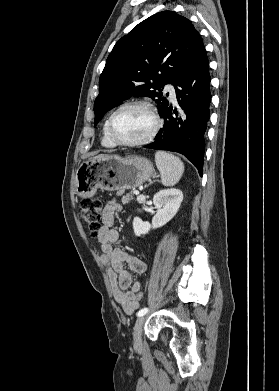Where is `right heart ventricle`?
I'll list each match as a JSON object with an SVG mask.
<instances>
[{
    "label": "right heart ventricle",
    "instance_id": "1",
    "mask_svg": "<svg viewBox=\"0 0 279 391\" xmlns=\"http://www.w3.org/2000/svg\"><path fill=\"white\" fill-rule=\"evenodd\" d=\"M107 122H108V118L105 120L103 127H102L101 144L104 148L112 149V148H115L116 145L109 139V137L107 135Z\"/></svg>",
    "mask_w": 279,
    "mask_h": 391
}]
</instances>
